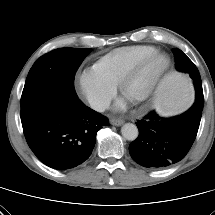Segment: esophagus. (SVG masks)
<instances>
[{"label":"esophagus","mask_w":215,"mask_h":215,"mask_svg":"<svg viewBox=\"0 0 215 215\" xmlns=\"http://www.w3.org/2000/svg\"><path fill=\"white\" fill-rule=\"evenodd\" d=\"M110 123L114 126H120L121 124H123V120L121 119H110Z\"/></svg>","instance_id":"obj_1"}]
</instances>
